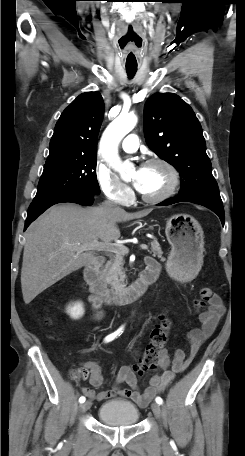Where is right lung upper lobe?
<instances>
[{"mask_svg":"<svg viewBox=\"0 0 245 456\" xmlns=\"http://www.w3.org/2000/svg\"><path fill=\"white\" fill-rule=\"evenodd\" d=\"M104 113L99 92L79 95L61 114L50 141L46 163L97 154V138Z\"/></svg>","mask_w":245,"mask_h":456,"instance_id":"obj_1","label":"right lung upper lobe"}]
</instances>
